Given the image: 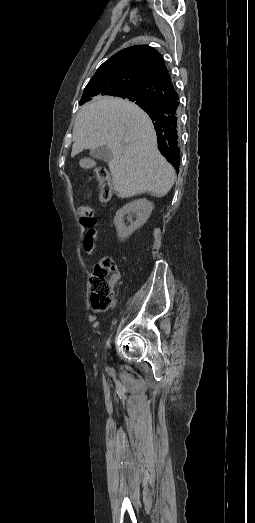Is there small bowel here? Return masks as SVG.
<instances>
[{"instance_id": "c3829d8e", "label": "small bowel", "mask_w": 255, "mask_h": 523, "mask_svg": "<svg viewBox=\"0 0 255 523\" xmlns=\"http://www.w3.org/2000/svg\"><path fill=\"white\" fill-rule=\"evenodd\" d=\"M86 226L87 230L83 239V249L86 251L87 254L91 255L94 251L96 242L98 240V230L96 227V221L94 220L93 223Z\"/></svg>"}]
</instances>
